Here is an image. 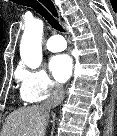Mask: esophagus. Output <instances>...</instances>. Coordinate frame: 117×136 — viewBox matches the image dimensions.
Here are the masks:
<instances>
[{
	"label": "esophagus",
	"instance_id": "34e87169",
	"mask_svg": "<svg viewBox=\"0 0 117 136\" xmlns=\"http://www.w3.org/2000/svg\"><path fill=\"white\" fill-rule=\"evenodd\" d=\"M46 9L47 7L44 5H48L51 9L52 12H50L49 9H47L56 19L60 20V14L59 11L57 9V7L55 6L54 2L52 0H38Z\"/></svg>",
	"mask_w": 117,
	"mask_h": 136
}]
</instances>
